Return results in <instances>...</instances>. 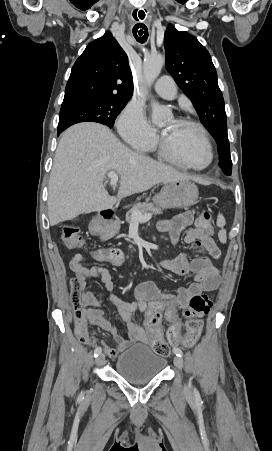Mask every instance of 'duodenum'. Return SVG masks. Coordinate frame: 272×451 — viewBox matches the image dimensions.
<instances>
[{
	"label": "duodenum",
	"mask_w": 272,
	"mask_h": 451,
	"mask_svg": "<svg viewBox=\"0 0 272 451\" xmlns=\"http://www.w3.org/2000/svg\"><path fill=\"white\" fill-rule=\"evenodd\" d=\"M114 218V210L112 208L104 209L98 218H96L90 227L91 233L100 238H107L109 235L108 223Z\"/></svg>",
	"instance_id": "duodenum-1"
}]
</instances>
